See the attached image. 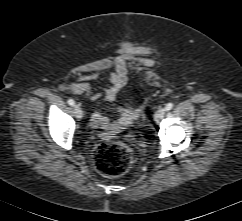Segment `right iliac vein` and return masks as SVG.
Wrapping results in <instances>:
<instances>
[{"label": "right iliac vein", "mask_w": 242, "mask_h": 221, "mask_svg": "<svg viewBox=\"0 0 242 221\" xmlns=\"http://www.w3.org/2000/svg\"><path fill=\"white\" fill-rule=\"evenodd\" d=\"M74 110H75V116H76V118L77 119H81L82 118V110L79 107V105H75Z\"/></svg>", "instance_id": "obj_1"}]
</instances>
